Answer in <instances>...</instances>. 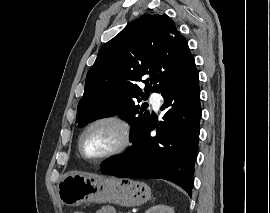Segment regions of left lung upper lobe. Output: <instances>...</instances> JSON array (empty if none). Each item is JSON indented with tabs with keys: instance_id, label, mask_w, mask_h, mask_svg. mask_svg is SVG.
<instances>
[{
	"instance_id": "left-lung-upper-lobe-1",
	"label": "left lung upper lobe",
	"mask_w": 270,
	"mask_h": 213,
	"mask_svg": "<svg viewBox=\"0 0 270 213\" xmlns=\"http://www.w3.org/2000/svg\"><path fill=\"white\" fill-rule=\"evenodd\" d=\"M194 64L186 39L166 14L141 16L101 47L77 107L79 126L118 114L131 124V138L150 119L135 102L160 92ZM142 78L145 93L137 85Z\"/></svg>"
}]
</instances>
